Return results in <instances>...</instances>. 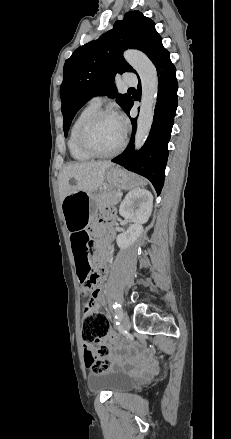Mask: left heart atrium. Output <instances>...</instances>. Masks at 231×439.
Here are the masks:
<instances>
[{
    "label": "left heart atrium",
    "instance_id": "39dd6f15",
    "mask_svg": "<svg viewBox=\"0 0 231 439\" xmlns=\"http://www.w3.org/2000/svg\"><path fill=\"white\" fill-rule=\"evenodd\" d=\"M116 119H117V122H118V124H119L121 130H122L123 132H125V129H126V120H125L122 116L116 117Z\"/></svg>",
    "mask_w": 231,
    "mask_h": 439
}]
</instances>
